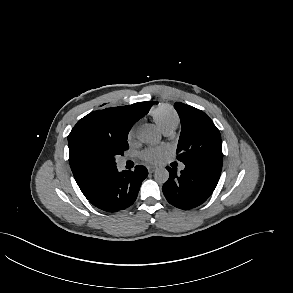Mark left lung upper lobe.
Returning a JSON list of instances; mask_svg holds the SVG:
<instances>
[{
    "instance_id": "obj_1",
    "label": "left lung upper lobe",
    "mask_w": 293,
    "mask_h": 293,
    "mask_svg": "<svg viewBox=\"0 0 293 293\" xmlns=\"http://www.w3.org/2000/svg\"><path fill=\"white\" fill-rule=\"evenodd\" d=\"M174 108L181 121L177 159L183 163L206 162L222 167L221 135L203 111L177 102Z\"/></svg>"
}]
</instances>
